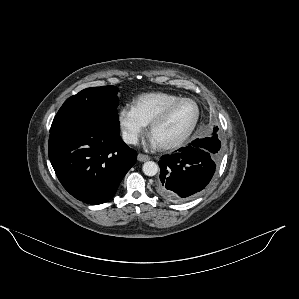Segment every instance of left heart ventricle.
Returning <instances> with one entry per match:
<instances>
[{
    "label": "left heart ventricle",
    "instance_id": "left-heart-ventricle-1",
    "mask_svg": "<svg viewBox=\"0 0 299 299\" xmlns=\"http://www.w3.org/2000/svg\"><path fill=\"white\" fill-rule=\"evenodd\" d=\"M196 116V107L191 101H183L176 106L167 119L153 132L152 138L160 144L171 142L182 136L191 126Z\"/></svg>",
    "mask_w": 299,
    "mask_h": 299
}]
</instances>
